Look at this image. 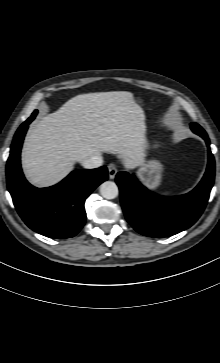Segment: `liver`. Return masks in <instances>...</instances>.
Listing matches in <instances>:
<instances>
[{
  "mask_svg": "<svg viewBox=\"0 0 220 363\" xmlns=\"http://www.w3.org/2000/svg\"><path fill=\"white\" fill-rule=\"evenodd\" d=\"M145 148V115L131 92L81 94L32 125L22 165L33 185L48 187L66 177L76 162L104 152L118 155L127 168L137 167Z\"/></svg>",
  "mask_w": 220,
  "mask_h": 363,
  "instance_id": "obj_1",
  "label": "liver"
}]
</instances>
